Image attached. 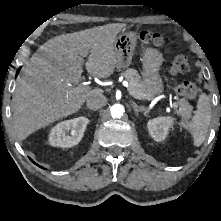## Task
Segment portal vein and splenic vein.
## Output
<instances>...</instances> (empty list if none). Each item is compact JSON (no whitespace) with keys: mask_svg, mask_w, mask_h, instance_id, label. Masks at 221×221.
<instances>
[{"mask_svg":"<svg viewBox=\"0 0 221 221\" xmlns=\"http://www.w3.org/2000/svg\"><path fill=\"white\" fill-rule=\"evenodd\" d=\"M73 90L77 92H87L90 90V87L87 86L85 83H83V84H80L78 87L74 88ZM171 106L174 108L177 107L175 103H171Z\"/></svg>","mask_w":221,"mask_h":221,"instance_id":"18ae733b","label":"portal vein and splenic vein"}]
</instances>
